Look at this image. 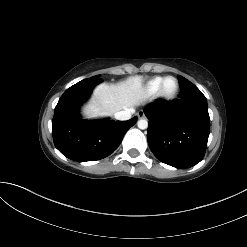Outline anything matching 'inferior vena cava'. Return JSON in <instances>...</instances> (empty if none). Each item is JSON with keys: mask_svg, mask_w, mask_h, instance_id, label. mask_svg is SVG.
I'll use <instances>...</instances> for the list:
<instances>
[{"mask_svg": "<svg viewBox=\"0 0 247 247\" xmlns=\"http://www.w3.org/2000/svg\"><path fill=\"white\" fill-rule=\"evenodd\" d=\"M134 113L133 109H125L123 111L116 112L114 114L117 120H129L131 118V114Z\"/></svg>", "mask_w": 247, "mask_h": 247, "instance_id": "602c4592", "label": "inferior vena cava"}]
</instances>
